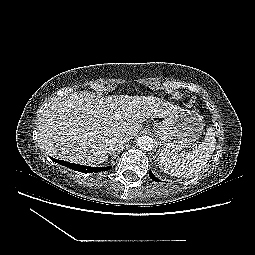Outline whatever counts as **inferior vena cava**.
Segmentation results:
<instances>
[{"instance_id":"602c4592","label":"inferior vena cava","mask_w":255,"mask_h":255,"mask_svg":"<svg viewBox=\"0 0 255 255\" xmlns=\"http://www.w3.org/2000/svg\"><path fill=\"white\" fill-rule=\"evenodd\" d=\"M129 140H130V138H129L128 135H126V134H121V133L117 134V135H116V138H115V142H116L117 144H119V145L125 144V143H126L127 141H129Z\"/></svg>"}]
</instances>
